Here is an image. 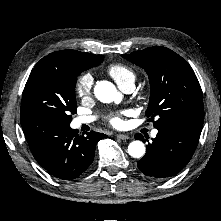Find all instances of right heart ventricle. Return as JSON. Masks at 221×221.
Wrapping results in <instances>:
<instances>
[{
    "label": "right heart ventricle",
    "mask_w": 221,
    "mask_h": 221,
    "mask_svg": "<svg viewBox=\"0 0 221 221\" xmlns=\"http://www.w3.org/2000/svg\"><path fill=\"white\" fill-rule=\"evenodd\" d=\"M107 72L120 88L128 84L134 85L136 75L130 67L124 64H112L108 67Z\"/></svg>",
    "instance_id": "obj_1"
}]
</instances>
